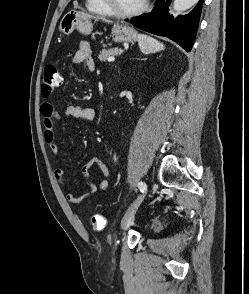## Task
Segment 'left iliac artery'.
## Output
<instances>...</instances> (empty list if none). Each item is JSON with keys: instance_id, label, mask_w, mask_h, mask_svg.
<instances>
[{"instance_id": "44dca946", "label": "left iliac artery", "mask_w": 249, "mask_h": 294, "mask_svg": "<svg viewBox=\"0 0 249 294\" xmlns=\"http://www.w3.org/2000/svg\"><path fill=\"white\" fill-rule=\"evenodd\" d=\"M138 188L140 189V191L143 193L146 191V184L144 182H139L138 183Z\"/></svg>"}]
</instances>
